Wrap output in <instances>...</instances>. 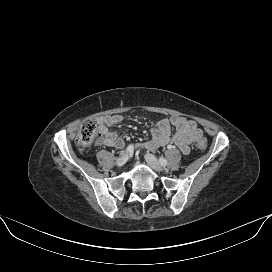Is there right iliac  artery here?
I'll return each instance as SVG.
<instances>
[{
  "instance_id": "right-iliac-artery-1",
  "label": "right iliac artery",
  "mask_w": 272,
  "mask_h": 272,
  "mask_svg": "<svg viewBox=\"0 0 272 272\" xmlns=\"http://www.w3.org/2000/svg\"><path fill=\"white\" fill-rule=\"evenodd\" d=\"M126 151H127L128 153H132V152L134 151V146H133L132 144L129 145V146L127 147Z\"/></svg>"
}]
</instances>
